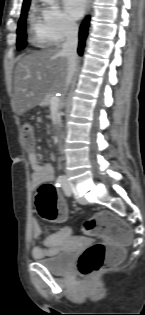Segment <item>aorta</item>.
Wrapping results in <instances>:
<instances>
[{
  "instance_id": "1",
  "label": "aorta",
  "mask_w": 145,
  "mask_h": 315,
  "mask_svg": "<svg viewBox=\"0 0 145 315\" xmlns=\"http://www.w3.org/2000/svg\"><path fill=\"white\" fill-rule=\"evenodd\" d=\"M41 1L47 4H52L54 3L55 0H41Z\"/></svg>"
}]
</instances>
